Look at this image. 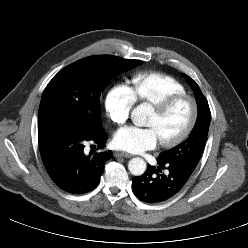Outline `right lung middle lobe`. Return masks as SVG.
<instances>
[{
  "label": "right lung middle lobe",
  "mask_w": 248,
  "mask_h": 248,
  "mask_svg": "<svg viewBox=\"0 0 248 248\" xmlns=\"http://www.w3.org/2000/svg\"><path fill=\"white\" fill-rule=\"evenodd\" d=\"M139 60L112 55L91 56L58 72L46 86L38 112V130L62 128L78 134L102 129L101 93L109 81Z\"/></svg>",
  "instance_id": "dd1d6c3e"
}]
</instances>
